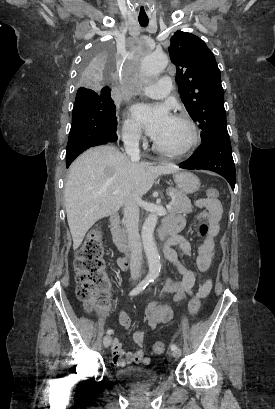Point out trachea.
Segmentation results:
<instances>
[{
  "label": "trachea",
  "mask_w": 275,
  "mask_h": 409,
  "mask_svg": "<svg viewBox=\"0 0 275 409\" xmlns=\"http://www.w3.org/2000/svg\"><path fill=\"white\" fill-rule=\"evenodd\" d=\"M148 23V19H139V24L141 25V27H147Z\"/></svg>",
  "instance_id": "trachea-1"
}]
</instances>
